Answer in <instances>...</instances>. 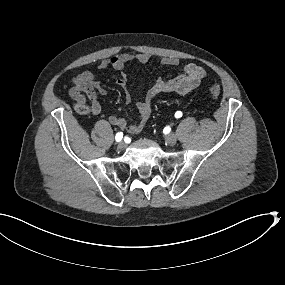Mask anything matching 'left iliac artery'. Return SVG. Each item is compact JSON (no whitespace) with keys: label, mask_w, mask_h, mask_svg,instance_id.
<instances>
[{"label":"left iliac artery","mask_w":285,"mask_h":285,"mask_svg":"<svg viewBox=\"0 0 285 285\" xmlns=\"http://www.w3.org/2000/svg\"><path fill=\"white\" fill-rule=\"evenodd\" d=\"M175 117H176V118L182 117V112H181V111H177V112L175 113Z\"/></svg>","instance_id":"44dca946"}]
</instances>
